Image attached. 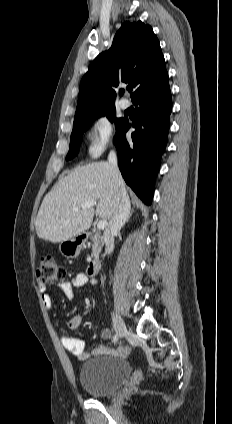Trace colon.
Segmentation results:
<instances>
[{
    "mask_svg": "<svg viewBox=\"0 0 232 424\" xmlns=\"http://www.w3.org/2000/svg\"><path fill=\"white\" fill-rule=\"evenodd\" d=\"M36 277L41 285H52L65 280L67 271L53 254L45 253L39 258Z\"/></svg>",
    "mask_w": 232,
    "mask_h": 424,
    "instance_id": "obj_1",
    "label": "colon"
}]
</instances>
